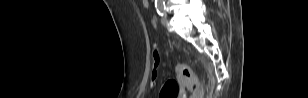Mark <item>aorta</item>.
Listing matches in <instances>:
<instances>
[{
    "label": "aorta",
    "instance_id": "aorta-1",
    "mask_svg": "<svg viewBox=\"0 0 308 98\" xmlns=\"http://www.w3.org/2000/svg\"><path fill=\"white\" fill-rule=\"evenodd\" d=\"M155 2L158 6H162V4L164 3V0H155Z\"/></svg>",
    "mask_w": 308,
    "mask_h": 98
}]
</instances>
